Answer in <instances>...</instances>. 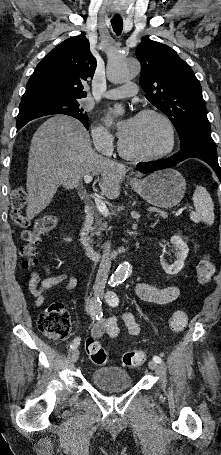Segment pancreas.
Segmentation results:
<instances>
[{
    "label": "pancreas",
    "instance_id": "cf45deb5",
    "mask_svg": "<svg viewBox=\"0 0 221 455\" xmlns=\"http://www.w3.org/2000/svg\"><path fill=\"white\" fill-rule=\"evenodd\" d=\"M105 230H107V223L104 222L103 218L97 216L94 227L91 230L92 235L100 236L102 231H105Z\"/></svg>",
    "mask_w": 221,
    "mask_h": 455
}]
</instances>
